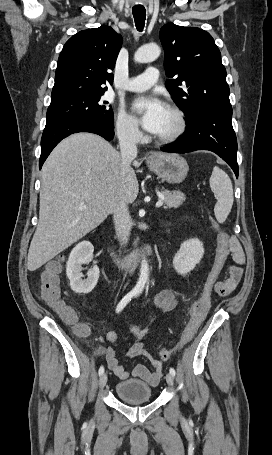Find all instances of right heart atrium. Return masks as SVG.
Wrapping results in <instances>:
<instances>
[{
    "instance_id": "1",
    "label": "right heart atrium",
    "mask_w": 272,
    "mask_h": 455,
    "mask_svg": "<svg viewBox=\"0 0 272 455\" xmlns=\"http://www.w3.org/2000/svg\"><path fill=\"white\" fill-rule=\"evenodd\" d=\"M115 130L118 138L124 143L137 144L142 139L136 121L123 110H119L116 115Z\"/></svg>"
}]
</instances>
